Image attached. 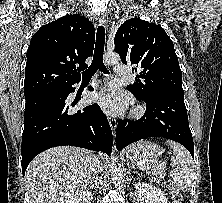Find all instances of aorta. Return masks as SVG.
<instances>
[{
    "label": "aorta",
    "mask_w": 222,
    "mask_h": 203,
    "mask_svg": "<svg viewBox=\"0 0 222 203\" xmlns=\"http://www.w3.org/2000/svg\"><path fill=\"white\" fill-rule=\"evenodd\" d=\"M104 60L108 65H116L119 63L120 57L117 53L108 52L104 56ZM110 173L113 182L117 185L122 181L123 168L121 162L116 156H111Z\"/></svg>",
    "instance_id": "obj_1"
}]
</instances>
